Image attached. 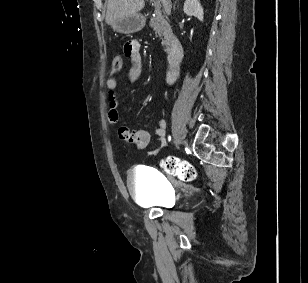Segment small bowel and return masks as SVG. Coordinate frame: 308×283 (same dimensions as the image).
I'll return each instance as SVG.
<instances>
[{"instance_id": "1", "label": "small bowel", "mask_w": 308, "mask_h": 283, "mask_svg": "<svg viewBox=\"0 0 308 283\" xmlns=\"http://www.w3.org/2000/svg\"><path fill=\"white\" fill-rule=\"evenodd\" d=\"M124 54L131 59L132 66L129 69V79L132 82L138 81L143 72V62L142 55L140 52V44L136 40L127 41L123 47ZM177 72L168 71L166 74L167 84H172L176 80ZM106 88L108 90V112L107 119L111 126H115L119 123V102L115 89L117 87V80L114 77H109L106 80ZM154 134L158 137V146L155 150L151 152L155 155L158 149L163 148L166 145V121L165 119H160L157 126L152 132L144 129L133 130L126 126L118 127V135L123 141L133 144L138 149L146 148L151 140V135Z\"/></svg>"}]
</instances>
